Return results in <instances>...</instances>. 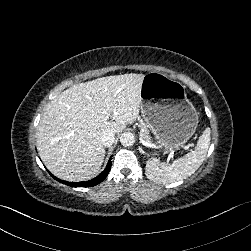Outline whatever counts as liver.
Instances as JSON below:
<instances>
[{
  "mask_svg": "<svg viewBox=\"0 0 251 251\" xmlns=\"http://www.w3.org/2000/svg\"><path fill=\"white\" fill-rule=\"evenodd\" d=\"M143 79L144 74L137 73L100 77L71 86L53 99L36 132L45 167L69 182L98 175L106 155L101 133H119L137 118Z\"/></svg>",
  "mask_w": 251,
  "mask_h": 251,
  "instance_id": "obj_1",
  "label": "liver"
}]
</instances>
